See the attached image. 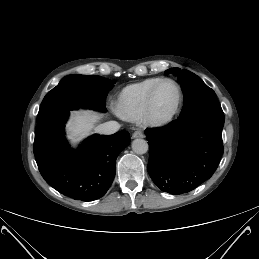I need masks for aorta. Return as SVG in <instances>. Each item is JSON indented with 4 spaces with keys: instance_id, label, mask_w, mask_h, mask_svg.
I'll return each instance as SVG.
<instances>
[{
    "instance_id": "762f6f07",
    "label": "aorta",
    "mask_w": 259,
    "mask_h": 259,
    "mask_svg": "<svg viewBox=\"0 0 259 259\" xmlns=\"http://www.w3.org/2000/svg\"><path fill=\"white\" fill-rule=\"evenodd\" d=\"M148 143L144 139H135L132 142V150L136 154H145L148 151Z\"/></svg>"
}]
</instances>
